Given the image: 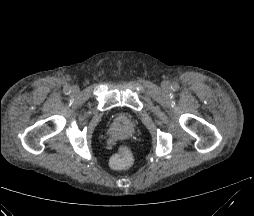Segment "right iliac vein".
<instances>
[{
    "instance_id": "63e3f726",
    "label": "right iliac vein",
    "mask_w": 254,
    "mask_h": 216,
    "mask_svg": "<svg viewBox=\"0 0 254 216\" xmlns=\"http://www.w3.org/2000/svg\"><path fill=\"white\" fill-rule=\"evenodd\" d=\"M72 92H73L74 94H77V93L79 92V88L76 87V86H74V87L72 88Z\"/></svg>"
}]
</instances>
